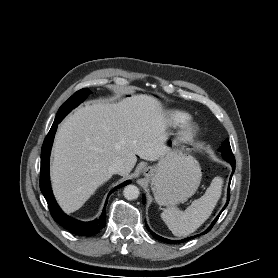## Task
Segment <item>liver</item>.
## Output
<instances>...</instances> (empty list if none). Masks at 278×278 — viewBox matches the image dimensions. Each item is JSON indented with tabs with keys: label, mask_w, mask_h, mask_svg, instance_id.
I'll return each instance as SVG.
<instances>
[{
	"label": "liver",
	"mask_w": 278,
	"mask_h": 278,
	"mask_svg": "<svg viewBox=\"0 0 278 278\" xmlns=\"http://www.w3.org/2000/svg\"><path fill=\"white\" fill-rule=\"evenodd\" d=\"M161 103L139 94L118 103L98 101L78 108L59 126L51 165L55 197L72 213L111 177L110 164L122 159L127 176L140 158L156 161L167 151Z\"/></svg>",
	"instance_id": "6515ba94"
}]
</instances>
